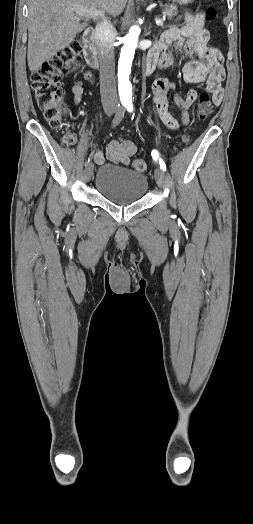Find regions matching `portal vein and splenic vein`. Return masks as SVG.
Segmentation results:
<instances>
[{"instance_id":"portal-vein-and-splenic-vein-1","label":"portal vein and splenic vein","mask_w":253,"mask_h":524,"mask_svg":"<svg viewBox=\"0 0 253 524\" xmlns=\"http://www.w3.org/2000/svg\"><path fill=\"white\" fill-rule=\"evenodd\" d=\"M74 11L78 15H83V16H89V17L101 16V14H99L97 11H92V10H89L87 8H82V7H78V6L74 7ZM155 22L159 26L163 25V20L162 19L156 18Z\"/></svg>"}]
</instances>
